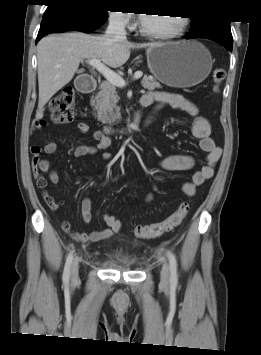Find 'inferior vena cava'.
<instances>
[{"instance_id":"602c4592","label":"inferior vena cava","mask_w":261,"mask_h":355,"mask_svg":"<svg viewBox=\"0 0 261 355\" xmlns=\"http://www.w3.org/2000/svg\"><path fill=\"white\" fill-rule=\"evenodd\" d=\"M126 34L123 18L119 16L110 17L105 36L111 38L113 41H126Z\"/></svg>"}]
</instances>
